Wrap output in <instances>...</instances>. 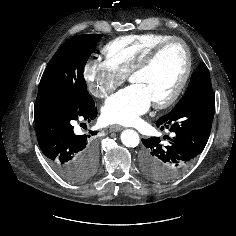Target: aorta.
I'll return each mask as SVG.
<instances>
[{"label":"aorta","mask_w":236,"mask_h":236,"mask_svg":"<svg viewBox=\"0 0 236 236\" xmlns=\"http://www.w3.org/2000/svg\"><path fill=\"white\" fill-rule=\"evenodd\" d=\"M121 142L130 148L137 147L140 142L139 135L132 129H126L121 133Z\"/></svg>","instance_id":"762f6f07"}]
</instances>
